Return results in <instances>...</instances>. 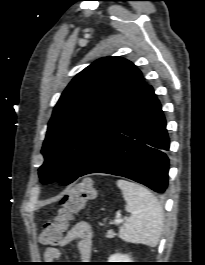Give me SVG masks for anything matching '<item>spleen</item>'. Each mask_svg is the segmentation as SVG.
Returning <instances> with one entry per match:
<instances>
[{
    "label": "spleen",
    "instance_id": "1",
    "mask_svg": "<svg viewBox=\"0 0 205 265\" xmlns=\"http://www.w3.org/2000/svg\"><path fill=\"white\" fill-rule=\"evenodd\" d=\"M126 201V211L130 218L120 228L119 237L131 243L155 247L161 237L163 209L158 199L144 186L127 180H118Z\"/></svg>",
    "mask_w": 205,
    "mask_h": 265
}]
</instances>
